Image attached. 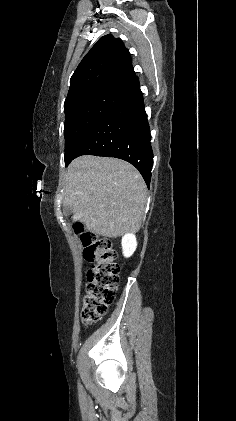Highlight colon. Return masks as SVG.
<instances>
[{"label": "colon", "mask_w": 236, "mask_h": 421, "mask_svg": "<svg viewBox=\"0 0 236 421\" xmlns=\"http://www.w3.org/2000/svg\"><path fill=\"white\" fill-rule=\"evenodd\" d=\"M75 230L80 234L84 257L92 264L81 310L82 322L89 325L102 319L113 303L119 283V265L109 239L84 232L81 224H76Z\"/></svg>", "instance_id": "colon-1"}]
</instances>
